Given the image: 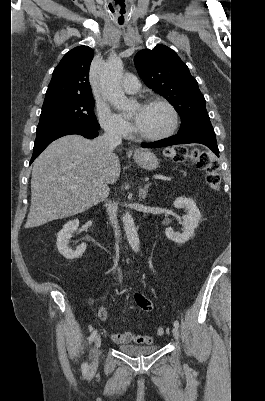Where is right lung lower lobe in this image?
Returning a JSON list of instances; mask_svg holds the SVG:
<instances>
[{
	"mask_svg": "<svg viewBox=\"0 0 265 401\" xmlns=\"http://www.w3.org/2000/svg\"><path fill=\"white\" fill-rule=\"evenodd\" d=\"M37 137L34 142L33 155L30 164L37 158L40 153L54 140L70 134L82 135L85 138L93 139L98 136L97 129H88L82 127H52L36 133Z\"/></svg>",
	"mask_w": 265,
	"mask_h": 401,
	"instance_id": "98d812e1",
	"label": "right lung lower lobe"
}]
</instances>
